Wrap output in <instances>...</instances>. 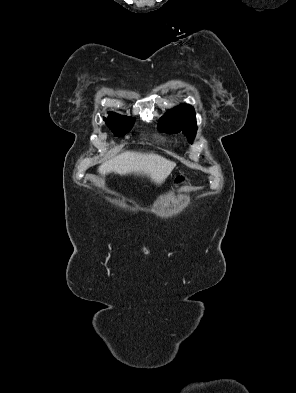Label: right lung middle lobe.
<instances>
[{
	"mask_svg": "<svg viewBox=\"0 0 296 393\" xmlns=\"http://www.w3.org/2000/svg\"><path fill=\"white\" fill-rule=\"evenodd\" d=\"M104 121L116 136H123L129 132L135 122L131 117L121 116L113 112H110L109 116L104 118Z\"/></svg>",
	"mask_w": 296,
	"mask_h": 393,
	"instance_id": "right-lung-middle-lobe-1",
	"label": "right lung middle lobe"
}]
</instances>
